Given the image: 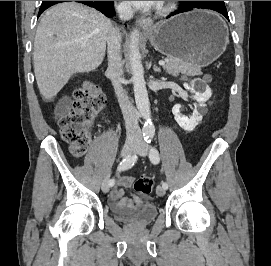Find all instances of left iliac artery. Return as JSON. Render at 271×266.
I'll list each match as a JSON object with an SVG mask.
<instances>
[{
	"label": "left iliac artery",
	"mask_w": 271,
	"mask_h": 266,
	"mask_svg": "<svg viewBox=\"0 0 271 266\" xmlns=\"http://www.w3.org/2000/svg\"><path fill=\"white\" fill-rule=\"evenodd\" d=\"M148 143H151V140L148 141ZM149 158H150V161L153 163V164H158L159 161H160V155H159V152L158 150L153 147V146H150V152H149ZM162 187L167 189L168 188V184L166 182H162Z\"/></svg>",
	"instance_id": "left-iliac-artery-1"
}]
</instances>
